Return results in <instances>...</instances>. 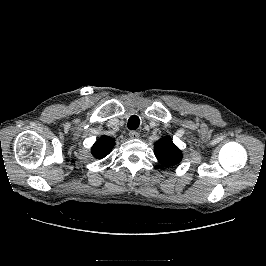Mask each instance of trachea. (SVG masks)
Segmentation results:
<instances>
[{
  "label": "trachea",
  "instance_id": "obj_1",
  "mask_svg": "<svg viewBox=\"0 0 266 266\" xmlns=\"http://www.w3.org/2000/svg\"><path fill=\"white\" fill-rule=\"evenodd\" d=\"M139 124L140 119L137 116L133 115L129 118L127 126L130 130H135L138 128Z\"/></svg>",
  "mask_w": 266,
  "mask_h": 266
}]
</instances>
